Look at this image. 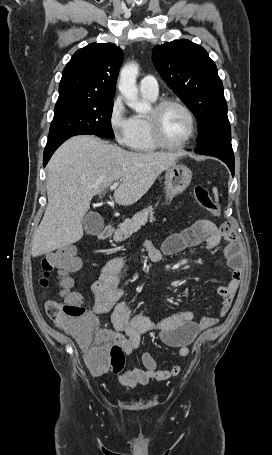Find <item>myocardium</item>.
<instances>
[{
  "label": "myocardium",
  "instance_id": "1",
  "mask_svg": "<svg viewBox=\"0 0 272 455\" xmlns=\"http://www.w3.org/2000/svg\"><path fill=\"white\" fill-rule=\"evenodd\" d=\"M168 106H177L183 110L189 120V133L187 137L180 143L170 144L166 142L162 136L160 129V117L165 108ZM147 123L151 138L154 144L166 150H180L185 148L194 139L197 131L196 118L192 110L182 101L174 98H164L154 104L151 112L147 116Z\"/></svg>",
  "mask_w": 272,
  "mask_h": 455
}]
</instances>
